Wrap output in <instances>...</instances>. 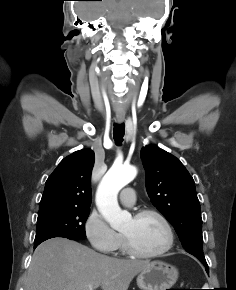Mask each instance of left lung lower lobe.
I'll return each instance as SVG.
<instances>
[{
    "label": "left lung lower lobe",
    "instance_id": "0a47b994",
    "mask_svg": "<svg viewBox=\"0 0 236 290\" xmlns=\"http://www.w3.org/2000/svg\"><path fill=\"white\" fill-rule=\"evenodd\" d=\"M206 271H207V272L209 271V268H208V267H206Z\"/></svg>",
    "mask_w": 236,
    "mask_h": 290
}]
</instances>
